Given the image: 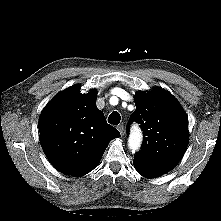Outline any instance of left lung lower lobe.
<instances>
[{
	"instance_id": "0a47b994",
	"label": "left lung lower lobe",
	"mask_w": 221,
	"mask_h": 221,
	"mask_svg": "<svg viewBox=\"0 0 221 221\" xmlns=\"http://www.w3.org/2000/svg\"><path fill=\"white\" fill-rule=\"evenodd\" d=\"M134 167L139 174H141L142 176H144L146 178H154V177H158V176L162 175L161 173L142 168L141 166H138L135 164H134Z\"/></svg>"
}]
</instances>
